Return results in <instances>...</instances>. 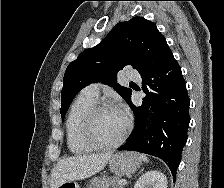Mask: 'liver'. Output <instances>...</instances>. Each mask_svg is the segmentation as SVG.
I'll return each mask as SVG.
<instances>
[{
	"mask_svg": "<svg viewBox=\"0 0 224 188\" xmlns=\"http://www.w3.org/2000/svg\"><path fill=\"white\" fill-rule=\"evenodd\" d=\"M112 155V152H105L76 155L60 160L52 171L50 188H57L63 182L84 179L98 173Z\"/></svg>",
	"mask_w": 224,
	"mask_h": 188,
	"instance_id": "6515ba94",
	"label": "liver"
}]
</instances>
